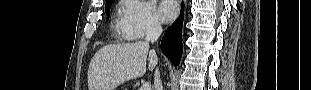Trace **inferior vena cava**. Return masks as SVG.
Wrapping results in <instances>:
<instances>
[{
    "mask_svg": "<svg viewBox=\"0 0 311 90\" xmlns=\"http://www.w3.org/2000/svg\"><path fill=\"white\" fill-rule=\"evenodd\" d=\"M161 33H162L161 25L158 23H152L147 29L146 38H145V41L143 42V47L148 48V49L151 48L152 43L158 40ZM149 55L151 56L152 54L150 53ZM147 64L149 66H152L154 64V61L150 58L147 61ZM152 67L154 68L155 66L153 65ZM154 86L156 90H163V86H162V82L160 79V74H159L158 69H156L154 72Z\"/></svg>",
    "mask_w": 311,
    "mask_h": 90,
    "instance_id": "602c4592",
    "label": "inferior vena cava"
}]
</instances>
